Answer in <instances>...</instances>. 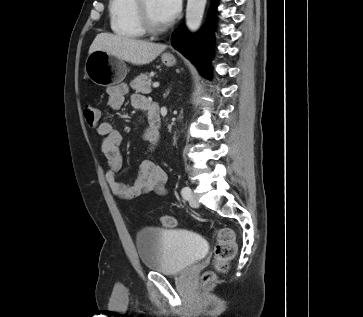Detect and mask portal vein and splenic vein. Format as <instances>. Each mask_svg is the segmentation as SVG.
Wrapping results in <instances>:
<instances>
[{
	"label": "portal vein and splenic vein",
	"instance_id": "portal-vein-and-splenic-vein-1",
	"mask_svg": "<svg viewBox=\"0 0 363 317\" xmlns=\"http://www.w3.org/2000/svg\"><path fill=\"white\" fill-rule=\"evenodd\" d=\"M153 87H154V88L159 87V83H158V82L153 83Z\"/></svg>",
	"mask_w": 363,
	"mask_h": 317
}]
</instances>
